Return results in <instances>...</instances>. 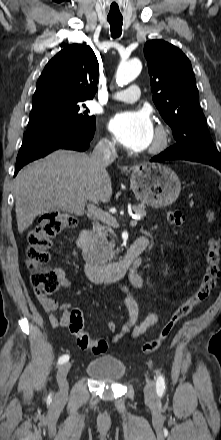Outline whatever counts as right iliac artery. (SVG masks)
I'll return each mask as SVG.
<instances>
[{
	"label": "right iliac artery",
	"mask_w": 221,
	"mask_h": 440,
	"mask_svg": "<svg viewBox=\"0 0 221 440\" xmlns=\"http://www.w3.org/2000/svg\"><path fill=\"white\" fill-rule=\"evenodd\" d=\"M69 360V356L68 355H62L59 359H58V364H64Z\"/></svg>",
	"instance_id": "obj_1"
}]
</instances>
